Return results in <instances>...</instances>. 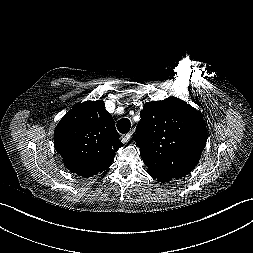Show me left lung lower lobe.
I'll return each mask as SVG.
<instances>
[{
    "label": "left lung lower lobe",
    "mask_w": 253,
    "mask_h": 253,
    "mask_svg": "<svg viewBox=\"0 0 253 253\" xmlns=\"http://www.w3.org/2000/svg\"><path fill=\"white\" fill-rule=\"evenodd\" d=\"M147 172H148V174H149L150 176H152L153 178H156V179H157L158 181H160V182H168V181H171V180L174 179V178L167 177V176H161V175L153 174V173H151V172L148 171V170H147Z\"/></svg>",
    "instance_id": "0a47b994"
}]
</instances>
